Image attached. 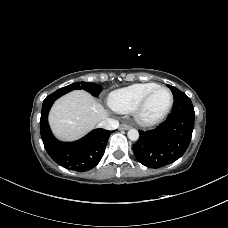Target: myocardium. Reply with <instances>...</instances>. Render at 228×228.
<instances>
[{"mask_svg":"<svg viewBox=\"0 0 228 228\" xmlns=\"http://www.w3.org/2000/svg\"><path fill=\"white\" fill-rule=\"evenodd\" d=\"M166 90L169 95H170V103L167 107V109L158 117L156 118H153V119H146L144 118L143 116V111H144V108L148 102V100L151 98V96L158 90ZM174 105V96H173V93L172 91L166 87V86H157L155 87L154 89H152L151 91H149L142 99L141 101L137 104V106L135 107L134 111H133V114H134V120L135 122L142 126V127H152V126H155L157 124H159L160 122H162L168 115L169 113L171 112L172 110V107Z\"/></svg>","mask_w":228,"mask_h":228,"instance_id":"obj_1","label":"myocardium"}]
</instances>
